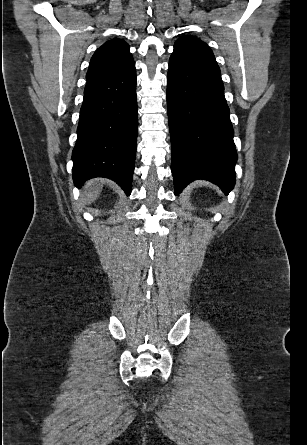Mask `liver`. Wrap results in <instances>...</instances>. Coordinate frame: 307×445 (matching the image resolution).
Wrapping results in <instances>:
<instances>
[{
    "label": "liver",
    "instance_id": "1",
    "mask_svg": "<svg viewBox=\"0 0 307 445\" xmlns=\"http://www.w3.org/2000/svg\"><path fill=\"white\" fill-rule=\"evenodd\" d=\"M102 184H100L99 180H90L88 184L85 186V192L81 194L83 196L85 202L87 204H91L96 200L97 196H99L101 192Z\"/></svg>",
    "mask_w": 307,
    "mask_h": 445
}]
</instances>
